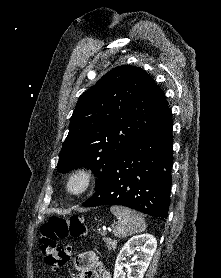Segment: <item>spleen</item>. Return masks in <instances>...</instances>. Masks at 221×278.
<instances>
[{
    "label": "spleen",
    "instance_id": "spleen-1",
    "mask_svg": "<svg viewBox=\"0 0 221 278\" xmlns=\"http://www.w3.org/2000/svg\"><path fill=\"white\" fill-rule=\"evenodd\" d=\"M110 211L119 221L113 230L116 237L124 238L145 231V220L136 211L123 206H112Z\"/></svg>",
    "mask_w": 221,
    "mask_h": 278
}]
</instances>
